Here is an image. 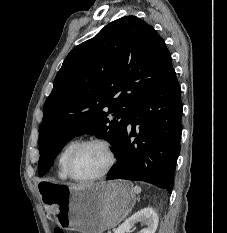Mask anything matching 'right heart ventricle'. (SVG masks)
Returning a JSON list of instances; mask_svg holds the SVG:
<instances>
[{"instance_id":"1","label":"right heart ventricle","mask_w":227,"mask_h":233,"mask_svg":"<svg viewBox=\"0 0 227 233\" xmlns=\"http://www.w3.org/2000/svg\"><path fill=\"white\" fill-rule=\"evenodd\" d=\"M77 144L76 141H71L67 143L62 151L60 152L58 159H57V174L58 177L62 180H67L69 179L66 169H65V162H66V157L69 153V151Z\"/></svg>"}]
</instances>
